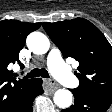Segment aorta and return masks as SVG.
<instances>
[{"label":"aorta","instance_id":"aorta-1","mask_svg":"<svg viewBox=\"0 0 112 112\" xmlns=\"http://www.w3.org/2000/svg\"><path fill=\"white\" fill-rule=\"evenodd\" d=\"M27 46L35 54H45L50 47L49 39L40 32H32L27 37ZM73 95L67 89H59L55 92L53 100L56 106L65 109L72 104Z\"/></svg>","mask_w":112,"mask_h":112}]
</instances>
